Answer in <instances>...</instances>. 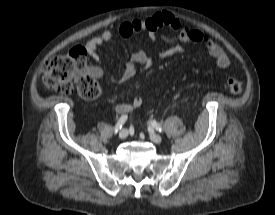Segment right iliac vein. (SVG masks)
I'll use <instances>...</instances> for the list:
<instances>
[{
    "instance_id": "right-iliac-vein-1",
    "label": "right iliac vein",
    "mask_w": 275,
    "mask_h": 215,
    "mask_svg": "<svg viewBox=\"0 0 275 215\" xmlns=\"http://www.w3.org/2000/svg\"><path fill=\"white\" fill-rule=\"evenodd\" d=\"M119 138L120 139H125V138H127V136H128V130L127 129H123V130H121L120 132H119Z\"/></svg>"
}]
</instances>
